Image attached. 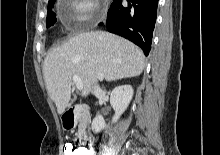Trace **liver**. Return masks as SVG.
I'll use <instances>...</instances> for the list:
<instances>
[{
    "label": "liver",
    "mask_w": 220,
    "mask_h": 155,
    "mask_svg": "<svg viewBox=\"0 0 220 155\" xmlns=\"http://www.w3.org/2000/svg\"><path fill=\"white\" fill-rule=\"evenodd\" d=\"M144 67V54L136 45L109 32L91 31L51 50L44 60L43 75L57 112L63 114L71 98L74 75L82 80V96L86 97L98 80L135 77Z\"/></svg>",
    "instance_id": "1"
}]
</instances>
